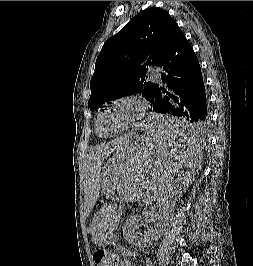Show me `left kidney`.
Wrapping results in <instances>:
<instances>
[{
  "instance_id": "left-kidney-1",
  "label": "left kidney",
  "mask_w": 253,
  "mask_h": 266,
  "mask_svg": "<svg viewBox=\"0 0 253 266\" xmlns=\"http://www.w3.org/2000/svg\"><path fill=\"white\" fill-rule=\"evenodd\" d=\"M149 221L148 214L144 217L131 216L127 219L123 226V236L130 244L138 247L146 246L152 242L157 234L156 231H144L138 230L139 227L146 225Z\"/></svg>"
}]
</instances>
